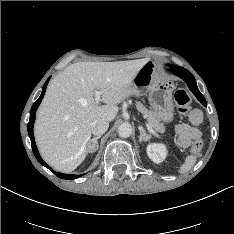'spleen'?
Masks as SVG:
<instances>
[{"label": "spleen", "mask_w": 234, "mask_h": 234, "mask_svg": "<svg viewBox=\"0 0 234 234\" xmlns=\"http://www.w3.org/2000/svg\"><path fill=\"white\" fill-rule=\"evenodd\" d=\"M197 157L194 155H189L186 157L185 162L181 165L179 172L181 174L188 172L196 163Z\"/></svg>", "instance_id": "obj_1"}]
</instances>
